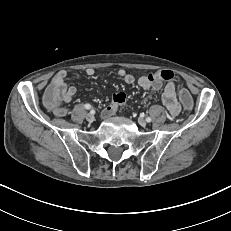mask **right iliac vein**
<instances>
[{
  "label": "right iliac vein",
  "mask_w": 231,
  "mask_h": 231,
  "mask_svg": "<svg viewBox=\"0 0 231 231\" xmlns=\"http://www.w3.org/2000/svg\"><path fill=\"white\" fill-rule=\"evenodd\" d=\"M85 117L88 122H93L95 119L92 113H87Z\"/></svg>",
  "instance_id": "obj_1"
}]
</instances>
